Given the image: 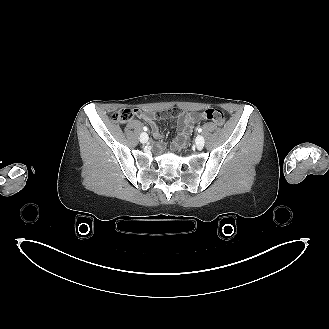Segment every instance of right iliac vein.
Segmentation results:
<instances>
[{"instance_id": "obj_1", "label": "right iliac vein", "mask_w": 329, "mask_h": 329, "mask_svg": "<svg viewBox=\"0 0 329 329\" xmlns=\"http://www.w3.org/2000/svg\"><path fill=\"white\" fill-rule=\"evenodd\" d=\"M148 134L147 133H145V132H143V133H141V135H140V137H139V140H140V142L141 143H146L147 141H148Z\"/></svg>"}]
</instances>
